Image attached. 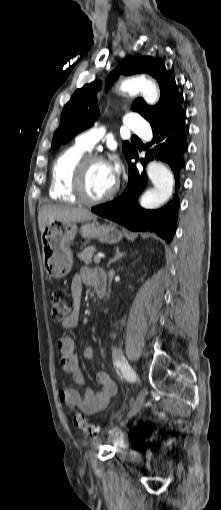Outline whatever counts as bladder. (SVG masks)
Listing matches in <instances>:
<instances>
[{
	"label": "bladder",
	"instance_id": "1",
	"mask_svg": "<svg viewBox=\"0 0 221 510\" xmlns=\"http://www.w3.org/2000/svg\"><path fill=\"white\" fill-rule=\"evenodd\" d=\"M131 444V441L129 439H124L122 442H120L118 445H117V449H121V450H124V449H127Z\"/></svg>",
	"mask_w": 221,
	"mask_h": 510
}]
</instances>
